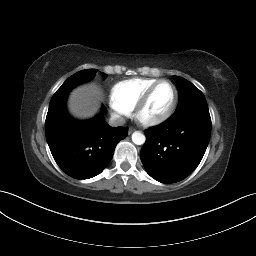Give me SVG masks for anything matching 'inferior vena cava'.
Returning a JSON list of instances; mask_svg holds the SVG:
<instances>
[{
	"instance_id": "1",
	"label": "inferior vena cava",
	"mask_w": 256,
	"mask_h": 256,
	"mask_svg": "<svg viewBox=\"0 0 256 256\" xmlns=\"http://www.w3.org/2000/svg\"><path fill=\"white\" fill-rule=\"evenodd\" d=\"M125 124V119L119 115H112L109 120V125L112 127L122 126Z\"/></svg>"
}]
</instances>
